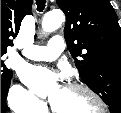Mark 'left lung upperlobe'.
<instances>
[{
	"mask_svg": "<svg viewBox=\"0 0 121 113\" xmlns=\"http://www.w3.org/2000/svg\"><path fill=\"white\" fill-rule=\"evenodd\" d=\"M66 15L64 36L80 76L121 113V28L109 0H56Z\"/></svg>",
	"mask_w": 121,
	"mask_h": 113,
	"instance_id": "1",
	"label": "left lung upper lobe"
}]
</instances>
